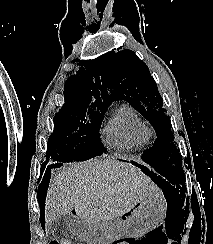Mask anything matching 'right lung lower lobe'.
Wrapping results in <instances>:
<instances>
[{
	"instance_id": "98d812e1",
	"label": "right lung lower lobe",
	"mask_w": 213,
	"mask_h": 244,
	"mask_svg": "<svg viewBox=\"0 0 213 244\" xmlns=\"http://www.w3.org/2000/svg\"><path fill=\"white\" fill-rule=\"evenodd\" d=\"M62 164L60 163H57V164H52V165H49L48 166V170L50 169V167H58ZM49 179H50V174L48 173V171L46 172V175H45V178L43 180V182L41 183L39 189H38V200H39V203L41 202V205H42V199L44 197V194H45V191H46V188L48 186V182H49Z\"/></svg>"
}]
</instances>
